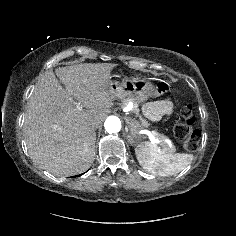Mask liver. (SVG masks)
I'll return each instance as SVG.
<instances>
[{
    "mask_svg": "<svg viewBox=\"0 0 236 236\" xmlns=\"http://www.w3.org/2000/svg\"><path fill=\"white\" fill-rule=\"evenodd\" d=\"M112 63H86L47 71L27 103L25 141L30 157L56 176L89 169L95 159L96 133L116 96L110 89ZM57 76V77H56ZM64 87L59 83L58 79ZM80 103L88 110H78Z\"/></svg>",
    "mask_w": 236,
    "mask_h": 236,
    "instance_id": "1",
    "label": "liver"
}]
</instances>
